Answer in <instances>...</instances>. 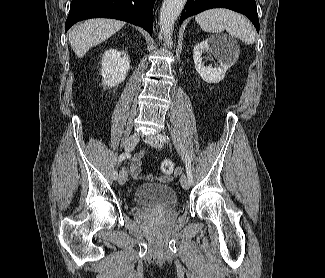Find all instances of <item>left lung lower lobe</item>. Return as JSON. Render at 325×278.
Returning <instances> with one entry per match:
<instances>
[{
  "mask_svg": "<svg viewBox=\"0 0 325 278\" xmlns=\"http://www.w3.org/2000/svg\"><path fill=\"white\" fill-rule=\"evenodd\" d=\"M211 8H227L246 15L259 32V20L255 0H187L180 24L186 18Z\"/></svg>",
  "mask_w": 325,
  "mask_h": 278,
  "instance_id": "1",
  "label": "left lung lower lobe"
}]
</instances>
